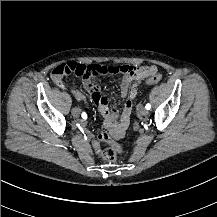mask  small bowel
I'll list each match as a JSON object with an SVG mask.
<instances>
[{
	"instance_id": "obj_1",
	"label": "small bowel",
	"mask_w": 217,
	"mask_h": 217,
	"mask_svg": "<svg viewBox=\"0 0 217 217\" xmlns=\"http://www.w3.org/2000/svg\"><path fill=\"white\" fill-rule=\"evenodd\" d=\"M148 77L149 76H131L130 74L124 75L120 84V95L123 98L128 97V100L122 109L119 120L116 119L118 117V112L114 108H109L107 98L101 92L100 83L92 80L90 77L83 79V85L89 92L91 101L100 109L98 111V116L103 119L105 126L107 127V132L113 134L114 138H120L130 123L133 100L137 96V85L135 82L146 80ZM53 83L56 86L64 88V84L59 77H56L53 80ZM74 95L78 98L83 97L80 92H74ZM87 134L90 135L89 132H87ZM99 144L98 138L94 139L92 142V148L98 156L102 155V152L99 150Z\"/></svg>"
}]
</instances>
